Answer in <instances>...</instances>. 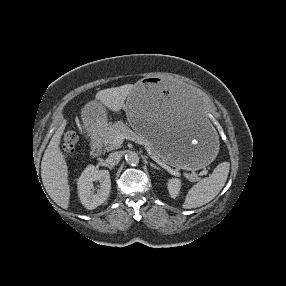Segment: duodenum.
<instances>
[{
    "label": "duodenum",
    "mask_w": 286,
    "mask_h": 286,
    "mask_svg": "<svg viewBox=\"0 0 286 286\" xmlns=\"http://www.w3.org/2000/svg\"><path fill=\"white\" fill-rule=\"evenodd\" d=\"M91 143L90 155L92 158H97L102 153V143L98 133H93L91 135Z\"/></svg>",
    "instance_id": "1"
}]
</instances>
